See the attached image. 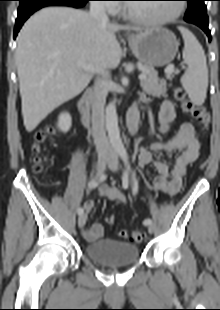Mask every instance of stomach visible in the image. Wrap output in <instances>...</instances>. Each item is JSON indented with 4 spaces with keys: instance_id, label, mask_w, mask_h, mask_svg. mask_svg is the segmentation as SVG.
<instances>
[{
    "instance_id": "stomach-1",
    "label": "stomach",
    "mask_w": 220,
    "mask_h": 310,
    "mask_svg": "<svg viewBox=\"0 0 220 310\" xmlns=\"http://www.w3.org/2000/svg\"><path fill=\"white\" fill-rule=\"evenodd\" d=\"M128 41L135 57L149 67H162L172 62L179 46L176 36L161 27L132 34Z\"/></svg>"
}]
</instances>
